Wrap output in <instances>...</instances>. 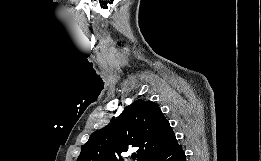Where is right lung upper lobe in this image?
<instances>
[{"label": "right lung upper lobe", "instance_id": "cb5924a9", "mask_svg": "<svg viewBox=\"0 0 261 161\" xmlns=\"http://www.w3.org/2000/svg\"><path fill=\"white\" fill-rule=\"evenodd\" d=\"M176 144L159 106L149 100H136L116 120L90 136L77 161H123L120 154L131 147L139 148L137 161H147Z\"/></svg>", "mask_w": 261, "mask_h": 161}]
</instances>
